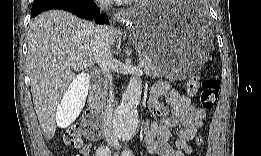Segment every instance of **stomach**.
<instances>
[{"label": "stomach", "instance_id": "1", "mask_svg": "<svg viewBox=\"0 0 261 156\" xmlns=\"http://www.w3.org/2000/svg\"><path fill=\"white\" fill-rule=\"evenodd\" d=\"M186 4L147 2L129 10L126 26L131 39L150 57L161 75L181 80L197 72L208 58L212 31L194 19Z\"/></svg>", "mask_w": 261, "mask_h": 156}]
</instances>
